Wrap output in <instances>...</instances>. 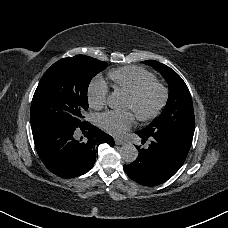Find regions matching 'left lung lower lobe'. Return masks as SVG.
I'll list each match as a JSON object with an SVG mask.
<instances>
[{"mask_svg": "<svg viewBox=\"0 0 228 228\" xmlns=\"http://www.w3.org/2000/svg\"><path fill=\"white\" fill-rule=\"evenodd\" d=\"M148 146L140 148L137 159L124 165L127 175L139 184L156 186L170 179L183 165L193 136L165 131L135 132Z\"/></svg>", "mask_w": 228, "mask_h": 228, "instance_id": "0a47b994", "label": "left lung lower lobe"}]
</instances>
